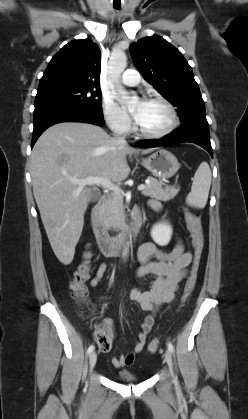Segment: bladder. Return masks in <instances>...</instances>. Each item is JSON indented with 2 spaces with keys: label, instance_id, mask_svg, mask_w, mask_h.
Masks as SVG:
<instances>
[{
  "label": "bladder",
  "instance_id": "31cf9c89",
  "mask_svg": "<svg viewBox=\"0 0 248 419\" xmlns=\"http://www.w3.org/2000/svg\"><path fill=\"white\" fill-rule=\"evenodd\" d=\"M116 378L122 382H136L138 377L129 371H119L116 373Z\"/></svg>",
  "mask_w": 248,
  "mask_h": 419
}]
</instances>
